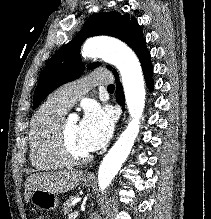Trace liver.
<instances>
[{"label": "liver", "mask_w": 211, "mask_h": 219, "mask_svg": "<svg viewBox=\"0 0 211 219\" xmlns=\"http://www.w3.org/2000/svg\"><path fill=\"white\" fill-rule=\"evenodd\" d=\"M83 172L77 170L31 174L26 179L25 199L36 190H45L52 193H65L72 190L82 179Z\"/></svg>", "instance_id": "obj_1"}]
</instances>
